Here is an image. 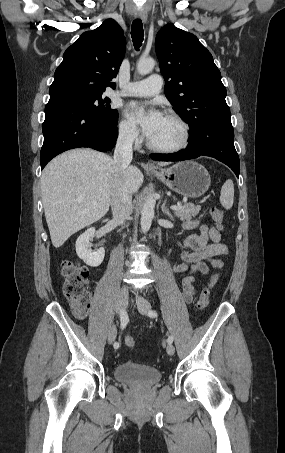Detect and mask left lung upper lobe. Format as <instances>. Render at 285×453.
<instances>
[{
    "instance_id": "1",
    "label": "left lung upper lobe",
    "mask_w": 285,
    "mask_h": 453,
    "mask_svg": "<svg viewBox=\"0 0 285 453\" xmlns=\"http://www.w3.org/2000/svg\"><path fill=\"white\" fill-rule=\"evenodd\" d=\"M155 49L166 97L189 124L190 133L210 124L232 125L220 71L195 35L165 25L157 33Z\"/></svg>"
}]
</instances>
